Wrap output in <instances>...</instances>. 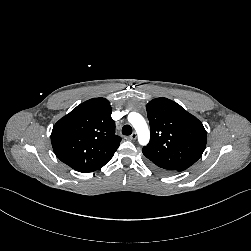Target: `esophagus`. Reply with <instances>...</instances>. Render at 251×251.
Returning <instances> with one entry per match:
<instances>
[{
	"label": "esophagus",
	"mask_w": 251,
	"mask_h": 251,
	"mask_svg": "<svg viewBox=\"0 0 251 251\" xmlns=\"http://www.w3.org/2000/svg\"><path fill=\"white\" fill-rule=\"evenodd\" d=\"M137 138V134L134 132L129 136L130 140H135Z\"/></svg>",
	"instance_id": "1"
}]
</instances>
